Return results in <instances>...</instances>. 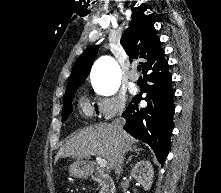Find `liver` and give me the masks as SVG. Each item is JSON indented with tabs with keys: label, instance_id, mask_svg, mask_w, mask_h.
I'll return each mask as SVG.
<instances>
[{
	"label": "liver",
	"instance_id": "6515ba94",
	"mask_svg": "<svg viewBox=\"0 0 221 193\" xmlns=\"http://www.w3.org/2000/svg\"><path fill=\"white\" fill-rule=\"evenodd\" d=\"M134 138L123 129L118 131L113 124L100 123L80 130L73 135L58 151L55 161L72 157L77 160L99 156L107 161V166L114 168L115 155L119 148L132 151Z\"/></svg>",
	"mask_w": 221,
	"mask_h": 193
}]
</instances>
